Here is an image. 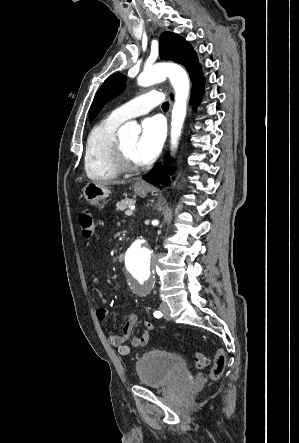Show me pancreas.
I'll return each instance as SVG.
<instances>
[{
	"instance_id": "1",
	"label": "pancreas",
	"mask_w": 299,
	"mask_h": 443,
	"mask_svg": "<svg viewBox=\"0 0 299 443\" xmlns=\"http://www.w3.org/2000/svg\"><path fill=\"white\" fill-rule=\"evenodd\" d=\"M133 204H135V200L123 199V200H121V202H118L116 204V208L118 211H123V210H126L128 207L132 206Z\"/></svg>"
}]
</instances>
